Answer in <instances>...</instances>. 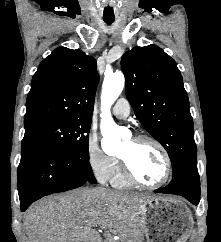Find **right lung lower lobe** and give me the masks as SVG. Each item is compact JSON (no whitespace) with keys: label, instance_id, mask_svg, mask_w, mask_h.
Masks as SVG:
<instances>
[{"label":"right lung lower lobe","instance_id":"right-lung-lower-lobe-1","mask_svg":"<svg viewBox=\"0 0 221 242\" xmlns=\"http://www.w3.org/2000/svg\"><path fill=\"white\" fill-rule=\"evenodd\" d=\"M17 176L22 212L43 196L96 183L89 160L46 145L22 147Z\"/></svg>","mask_w":221,"mask_h":242}]
</instances>
